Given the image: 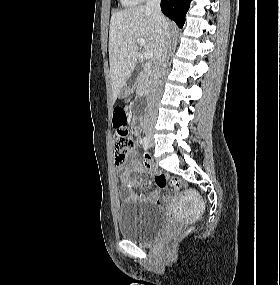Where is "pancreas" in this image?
<instances>
[{
  "mask_svg": "<svg viewBox=\"0 0 280 285\" xmlns=\"http://www.w3.org/2000/svg\"><path fill=\"white\" fill-rule=\"evenodd\" d=\"M151 85V76L147 71L141 73L137 80L136 92L138 95L145 94L149 90Z\"/></svg>",
  "mask_w": 280,
  "mask_h": 285,
  "instance_id": "pancreas-1",
  "label": "pancreas"
}]
</instances>
